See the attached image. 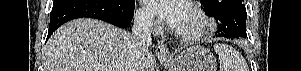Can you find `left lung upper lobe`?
<instances>
[{
  "label": "left lung upper lobe",
  "mask_w": 301,
  "mask_h": 71,
  "mask_svg": "<svg viewBox=\"0 0 301 71\" xmlns=\"http://www.w3.org/2000/svg\"><path fill=\"white\" fill-rule=\"evenodd\" d=\"M224 0H201L202 5L204 6L206 12L210 11L213 6L217 3H220ZM243 1V0H240Z\"/></svg>",
  "instance_id": "left-lung-upper-lobe-1"
}]
</instances>
